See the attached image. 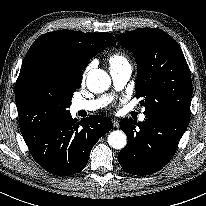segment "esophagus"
Segmentation results:
<instances>
[{
  "mask_svg": "<svg viewBox=\"0 0 206 206\" xmlns=\"http://www.w3.org/2000/svg\"><path fill=\"white\" fill-rule=\"evenodd\" d=\"M112 123H113V126H114L115 128L119 127V122H118V120L114 119V120H112Z\"/></svg>",
  "mask_w": 206,
  "mask_h": 206,
  "instance_id": "obj_1",
  "label": "esophagus"
}]
</instances>
